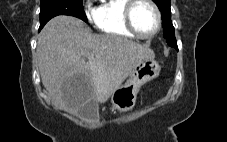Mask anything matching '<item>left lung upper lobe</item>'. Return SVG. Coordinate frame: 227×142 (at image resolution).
Here are the masks:
<instances>
[{
  "mask_svg": "<svg viewBox=\"0 0 227 142\" xmlns=\"http://www.w3.org/2000/svg\"><path fill=\"white\" fill-rule=\"evenodd\" d=\"M161 11L163 22V37L167 44L178 50L177 41L174 34V27L171 22L170 0H153Z\"/></svg>",
  "mask_w": 227,
  "mask_h": 142,
  "instance_id": "5c2ea615",
  "label": "left lung upper lobe"
}]
</instances>
